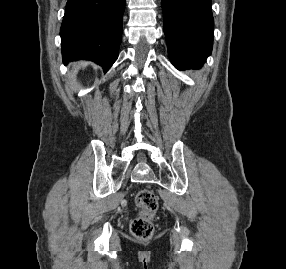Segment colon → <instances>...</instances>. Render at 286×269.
I'll list each match as a JSON object with an SVG mask.
<instances>
[{
  "label": "colon",
  "instance_id": "1",
  "mask_svg": "<svg viewBox=\"0 0 286 269\" xmlns=\"http://www.w3.org/2000/svg\"><path fill=\"white\" fill-rule=\"evenodd\" d=\"M139 214L130 225L131 233L138 239H148L154 233L153 220L158 209V200L148 189L140 190L136 195Z\"/></svg>",
  "mask_w": 286,
  "mask_h": 269
}]
</instances>
